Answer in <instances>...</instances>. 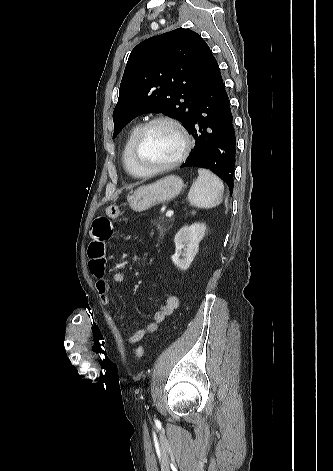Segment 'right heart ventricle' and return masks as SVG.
Masks as SVG:
<instances>
[{"label": "right heart ventricle", "mask_w": 333, "mask_h": 471, "mask_svg": "<svg viewBox=\"0 0 333 471\" xmlns=\"http://www.w3.org/2000/svg\"><path fill=\"white\" fill-rule=\"evenodd\" d=\"M141 127V124H134L130 129L127 131L123 148H122V164L125 169V171L133 176V177H143L146 176L143 174L134 164L133 158H132V146L133 142L135 139V136L137 132L139 131Z\"/></svg>", "instance_id": "right-heart-ventricle-1"}]
</instances>
